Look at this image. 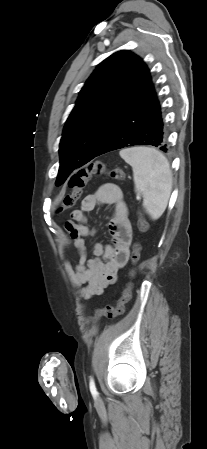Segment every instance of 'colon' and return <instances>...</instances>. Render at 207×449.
Here are the masks:
<instances>
[{
  "instance_id": "colon-1",
  "label": "colon",
  "mask_w": 207,
  "mask_h": 449,
  "mask_svg": "<svg viewBox=\"0 0 207 449\" xmlns=\"http://www.w3.org/2000/svg\"><path fill=\"white\" fill-rule=\"evenodd\" d=\"M101 175H107L110 178L118 181L125 180V174L120 168L108 169L102 161H96L89 164L86 167L79 169L74 173L69 179L70 192L66 193L62 198V203L60 210H66L72 208L78 199L82 195V191L86 186L87 182L92 177H97ZM139 223L142 228H144L143 213L139 211ZM141 256V245L135 243L132 248L131 262L135 266ZM131 277L135 275V269L133 268L130 272ZM133 290V283L129 282L123 290L122 296L118 300L115 306L107 305L102 309L95 312L94 316L91 318L92 321H96L100 318L114 319L122 315L125 311L126 304L131 300Z\"/></svg>"
}]
</instances>
